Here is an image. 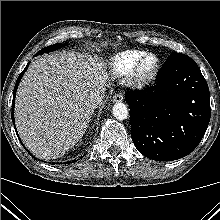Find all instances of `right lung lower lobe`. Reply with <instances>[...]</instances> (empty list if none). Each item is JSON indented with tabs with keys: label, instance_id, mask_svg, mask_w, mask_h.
Listing matches in <instances>:
<instances>
[{
	"label": "right lung lower lobe",
	"instance_id": "1",
	"mask_svg": "<svg viewBox=\"0 0 220 220\" xmlns=\"http://www.w3.org/2000/svg\"><path fill=\"white\" fill-rule=\"evenodd\" d=\"M29 63L27 64L26 68L23 70V72L20 74V76L18 77L17 81H16V84H15V87H14V95H13V101H12V121L14 123V102H15V94H16V90H17V87H18V84L24 74V72L26 71L27 67H28ZM20 140V139H19Z\"/></svg>",
	"mask_w": 220,
	"mask_h": 220
}]
</instances>
